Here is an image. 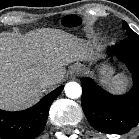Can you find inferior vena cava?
Wrapping results in <instances>:
<instances>
[{
	"label": "inferior vena cava",
	"mask_w": 139,
	"mask_h": 139,
	"mask_svg": "<svg viewBox=\"0 0 139 139\" xmlns=\"http://www.w3.org/2000/svg\"><path fill=\"white\" fill-rule=\"evenodd\" d=\"M54 78L52 77V76H44V77H42L40 80H39V82H38V85H39V87L40 88H42V89H44V88H46V87H48V86H51V85H53L54 84Z\"/></svg>",
	"instance_id": "602c4592"
}]
</instances>
